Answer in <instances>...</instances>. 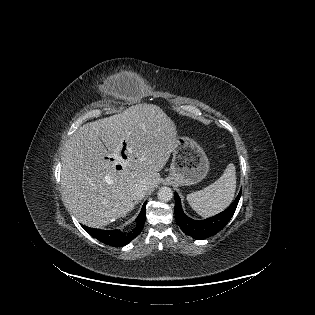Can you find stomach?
Returning a JSON list of instances; mask_svg holds the SVG:
<instances>
[{
    "mask_svg": "<svg viewBox=\"0 0 315 315\" xmlns=\"http://www.w3.org/2000/svg\"><path fill=\"white\" fill-rule=\"evenodd\" d=\"M209 171V161L196 141L186 136L177 137L173 151L170 177L179 185L189 186L203 180Z\"/></svg>",
    "mask_w": 315,
    "mask_h": 315,
    "instance_id": "0dacf381",
    "label": "stomach"
}]
</instances>
